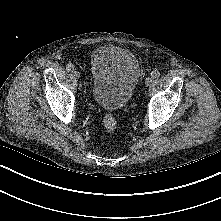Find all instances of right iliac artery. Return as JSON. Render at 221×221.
<instances>
[{
	"label": "right iliac artery",
	"instance_id": "right-iliac-artery-1",
	"mask_svg": "<svg viewBox=\"0 0 221 221\" xmlns=\"http://www.w3.org/2000/svg\"><path fill=\"white\" fill-rule=\"evenodd\" d=\"M75 69L74 65L72 63H69L66 65V70L67 71H73Z\"/></svg>",
	"mask_w": 221,
	"mask_h": 221
}]
</instances>
